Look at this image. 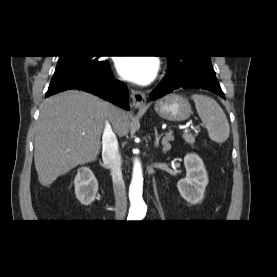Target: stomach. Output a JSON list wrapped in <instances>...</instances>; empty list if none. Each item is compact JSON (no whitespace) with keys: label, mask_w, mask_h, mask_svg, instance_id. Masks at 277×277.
<instances>
[{"label":"stomach","mask_w":277,"mask_h":277,"mask_svg":"<svg viewBox=\"0 0 277 277\" xmlns=\"http://www.w3.org/2000/svg\"><path fill=\"white\" fill-rule=\"evenodd\" d=\"M154 109L161 118L177 122L188 119L192 113L189 101L174 93L156 101Z\"/></svg>","instance_id":"obj_1"}]
</instances>
